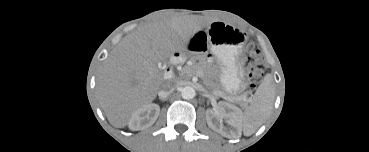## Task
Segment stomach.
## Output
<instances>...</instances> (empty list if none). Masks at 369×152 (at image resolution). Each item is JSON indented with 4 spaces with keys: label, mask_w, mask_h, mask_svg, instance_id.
Masks as SVG:
<instances>
[{
    "label": "stomach",
    "mask_w": 369,
    "mask_h": 152,
    "mask_svg": "<svg viewBox=\"0 0 369 152\" xmlns=\"http://www.w3.org/2000/svg\"><path fill=\"white\" fill-rule=\"evenodd\" d=\"M207 45L221 66L220 82L228 93L244 88L238 57L247 37L239 29L222 21L212 22L205 31Z\"/></svg>",
    "instance_id": "stomach-1"
}]
</instances>
